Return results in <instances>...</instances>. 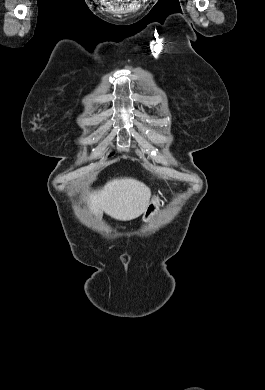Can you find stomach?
I'll return each instance as SVG.
<instances>
[{
  "instance_id": "0dacf381",
  "label": "stomach",
  "mask_w": 265,
  "mask_h": 390,
  "mask_svg": "<svg viewBox=\"0 0 265 390\" xmlns=\"http://www.w3.org/2000/svg\"><path fill=\"white\" fill-rule=\"evenodd\" d=\"M158 210H159V201L157 198H153L147 210L144 213L143 221L144 222L150 221L157 214Z\"/></svg>"
}]
</instances>
